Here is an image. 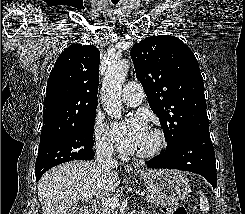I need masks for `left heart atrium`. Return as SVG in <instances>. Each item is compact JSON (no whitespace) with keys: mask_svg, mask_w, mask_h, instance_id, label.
<instances>
[{"mask_svg":"<svg viewBox=\"0 0 245 214\" xmlns=\"http://www.w3.org/2000/svg\"><path fill=\"white\" fill-rule=\"evenodd\" d=\"M146 131L147 126L139 117H135L124 124H114V135L126 151H133Z\"/></svg>","mask_w":245,"mask_h":214,"instance_id":"39dd6f15","label":"left heart atrium"}]
</instances>
